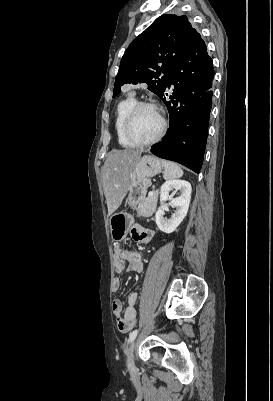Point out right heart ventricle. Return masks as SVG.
Here are the masks:
<instances>
[{
  "mask_svg": "<svg viewBox=\"0 0 273 401\" xmlns=\"http://www.w3.org/2000/svg\"><path fill=\"white\" fill-rule=\"evenodd\" d=\"M137 103L136 97L134 94H129L123 97L115 106V117H114V129L117 136L118 143L123 148H135L136 146L130 142H128L122 133L123 123L133 108V106Z\"/></svg>",
  "mask_w": 273,
  "mask_h": 401,
  "instance_id": "e07e8e85",
  "label": "right heart ventricle"
}]
</instances>
